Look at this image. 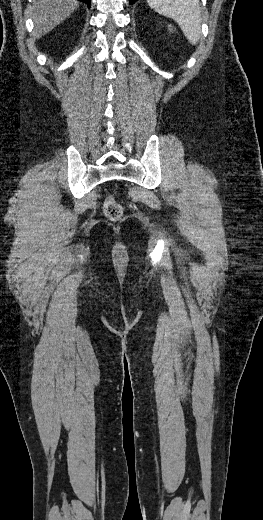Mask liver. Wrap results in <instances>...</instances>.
Segmentation results:
<instances>
[{"label": "liver", "instance_id": "1", "mask_svg": "<svg viewBox=\"0 0 263 520\" xmlns=\"http://www.w3.org/2000/svg\"><path fill=\"white\" fill-rule=\"evenodd\" d=\"M79 6L76 0H34L31 7L34 21L33 37L40 38L67 17Z\"/></svg>", "mask_w": 263, "mask_h": 520}]
</instances>
